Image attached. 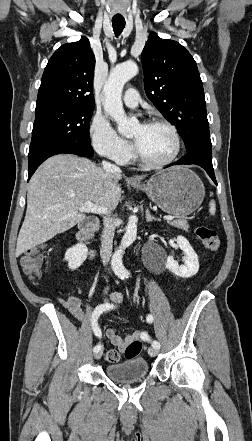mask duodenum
I'll list each match as a JSON object with an SVG mask.
<instances>
[{"label": "duodenum", "instance_id": "obj_1", "mask_svg": "<svg viewBox=\"0 0 252 441\" xmlns=\"http://www.w3.org/2000/svg\"><path fill=\"white\" fill-rule=\"evenodd\" d=\"M100 221L96 217H90L86 219L80 226V229L76 235V240L81 245H88L90 242L91 235L94 231L99 228ZM95 251L90 250V255L93 256Z\"/></svg>", "mask_w": 252, "mask_h": 441}]
</instances>
